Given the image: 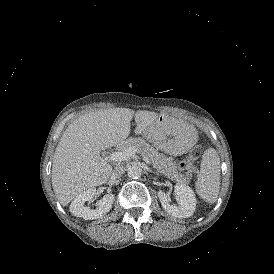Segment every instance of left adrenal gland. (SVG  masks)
<instances>
[{
  "mask_svg": "<svg viewBox=\"0 0 274 274\" xmlns=\"http://www.w3.org/2000/svg\"><path fill=\"white\" fill-rule=\"evenodd\" d=\"M151 173L156 174L157 176L160 175V174H159L158 172H156V171H151Z\"/></svg>",
  "mask_w": 274,
  "mask_h": 274,
  "instance_id": "left-adrenal-gland-1",
  "label": "left adrenal gland"
}]
</instances>
